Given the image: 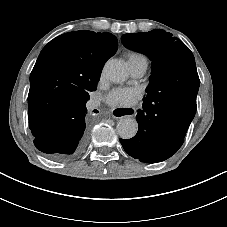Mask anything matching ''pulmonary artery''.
<instances>
[{"label": "pulmonary artery", "instance_id": "obj_1", "mask_svg": "<svg viewBox=\"0 0 227 227\" xmlns=\"http://www.w3.org/2000/svg\"><path fill=\"white\" fill-rule=\"evenodd\" d=\"M130 74L135 78H140L145 74L146 67L143 65H129ZM97 102H92L96 104Z\"/></svg>", "mask_w": 227, "mask_h": 227}]
</instances>
